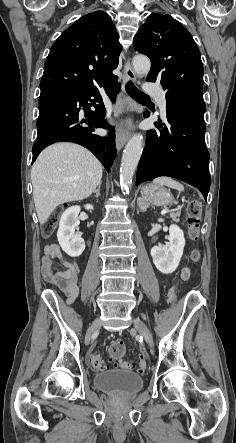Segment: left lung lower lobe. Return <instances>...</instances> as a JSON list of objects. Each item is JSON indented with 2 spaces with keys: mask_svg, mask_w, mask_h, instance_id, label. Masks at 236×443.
<instances>
[{
  "mask_svg": "<svg viewBox=\"0 0 236 443\" xmlns=\"http://www.w3.org/2000/svg\"><path fill=\"white\" fill-rule=\"evenodd\" d=\"M167 124L146 132V145L137 168L136 185L159 176L182 180L201 191L210 188L209 152L205 146L203 91L180 89L166 93ZM146 111L144 117H149ZM161 128H163L161 130Z\"/></svg>",
  "mask_w": 236,
  "mask_h": 443,
  "instance_id": "1",
  "label": "left lung lower lobe"
}]
</instances>
